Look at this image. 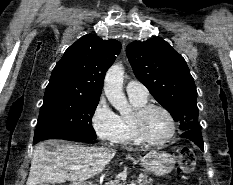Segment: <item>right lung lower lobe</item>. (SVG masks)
I'll return each mask as SVG.
<instances>
[{
    "label": "right lung lower lobe",
    "mask_w": 233,
    "mask_h": 185,
    "mask_svg": "<svg viewBox=\"0 0 233 185\" xmlns=\"http://www.w3.org/2000/svg\"><path fill=\"white\" fill-rule=\"evenodd\" d=\"M89 141H91V140H81L79 142H89Z\"/></svg>",
    "instance_id": "98d812e1"
}]
</instances>
